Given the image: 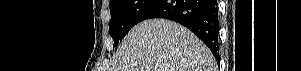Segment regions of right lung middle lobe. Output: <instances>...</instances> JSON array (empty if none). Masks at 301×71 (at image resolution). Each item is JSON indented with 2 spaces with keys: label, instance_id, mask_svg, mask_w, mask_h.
<instances>
[{
  "label": "right lung middle lobe",
  "instance_id": "dd1d6c3e",
  "mask_svg": "<svg viewBox=\"0 0 301 71\" xmlns=\"http://www.w3.org/2000/svg\"><path fill=\"white\" fill-rule=\"evenodd\" d=\"M156 0H110L109 33L118 44L129 30L139 23L140 16Z\"/></svg>",
  "mask_w": 301,
  "mask_h": 71
}]
</instances>
